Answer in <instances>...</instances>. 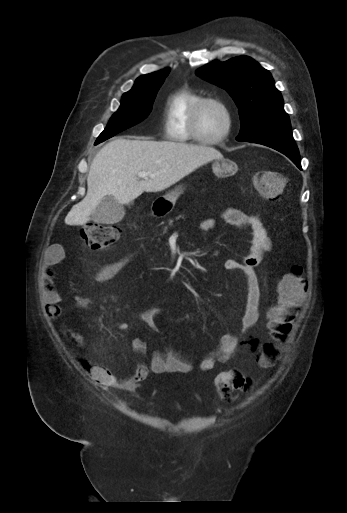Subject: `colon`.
Masks as SVG:
<instances>
[{
	"mask_svg": "<svg viewBox=\"0 0 347 513\" xmlns=\"http://www.w3.org/2000/svg\"><path fill=\"white\" fill-rule=\"evenodd\" d=\"M253 183L268 200L278 199L285 187V178L279 171H255ZM81 237L90 249H104L114 245L121 236L115 226L89 223L81 229ZM308 280L300 265L285 274L277 287V300L269 311L267 327L271 340H261L257 346L258 368L262 373H273L279 359V342L288 336L297 310L307 292ZM251 379L236 370L222 372L215 379L220 397L228 398L235 390L251 388Z\"/></svg>",
	"mask_w": 347,
	"mask_h": 513,
	"instance_id": "obj_1",
	"label": "colon"
}]
</instances>
